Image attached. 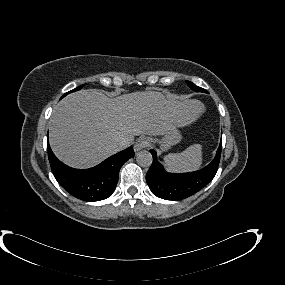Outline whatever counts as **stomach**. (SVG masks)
<instances>
[{
    "label": "stomach",
    "mask_w": 285,
    "mask_h": 285,
    "mask_svg": "<svg viewBox=\"0 0 285 285\" xmlns=\"http://www.w3.org/2000/svg\"><path fill=\"white\" fill-rule=\"evenodd\" d=\"M181 139L182 135L178 127H175L165 133L161 139L155 141L161 146L162 150H168L171 146L179 143Z\"/></svg>",
    "instance_id": "0dacf381"
}]
</instances>
